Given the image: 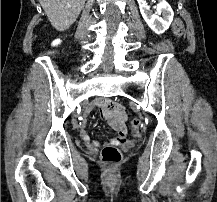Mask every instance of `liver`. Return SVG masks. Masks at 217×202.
I'll return each mask as SVG.
<instances>
[{"mask_svg":"<svg viewBox=\"0 0 217 202\" xmlns=\"http://www.w3.org/2000/svg\"><path fill=\"white\" fill-rule=\"evenodd\" d=\"M51 26L64 32L76 22L86 0H39Z\"/></svg>","mask_w":217,"mask_h":202,"instance_id":"obj_1","label":"liver"}]
</instances>
